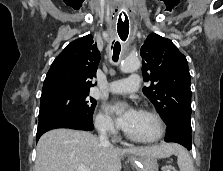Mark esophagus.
<instances>
[{
	"label": "esophagus",
	"mask_w": 223,
	"mask_h": 171,
	"mask_svg": "<svg viewBox=\"0 0 223 171\" xmlns=\"http://www.w3.org/2000/svg\"><path fill=\"white\" fill-rule=\"evenodd\" d=\"M116 31L122 40L129 38L130 31H132V21L129 13H116Z\"/></svg>",
	"instance_id": "1"
}]
</instances>
